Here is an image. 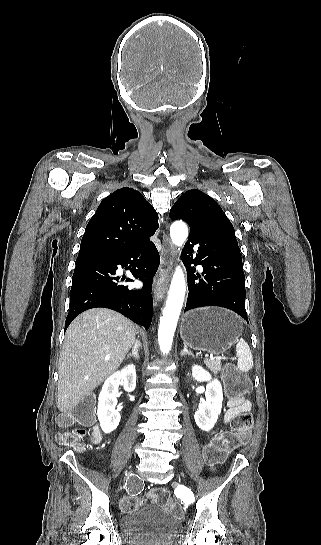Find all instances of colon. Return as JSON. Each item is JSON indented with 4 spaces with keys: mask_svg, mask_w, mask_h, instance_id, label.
Wrapping results in <instances>:
<instances>
[{
    "mask_svg": "<svg viewBox=\"0 0 321 545\" xmlns=\"http://www.w3.org/2000/svg\"><path fill=\"white\" fill-rule=\"evenodd\" d=\"M223 382L226 392L230 398L243 397L249 392L250 384L248 379L238 373L231 365L227 366L223 373ZM93 421V403L88 399L69 410L60 419L63 426L78 424L80 427L67 429L57 435V442L61 445L70 446L77 451H82V440L84 438V427ZM253 425V419L249 412L238 414L232 423V429L216 437L204 449V458L210 465L221 463L226 454L234 451L244 444L249 436ZM154 502L162 506L170 513L181 516L182 510L178 504L172 501L168 490L165 488L153 489L148 495ZM145 503L144 498L137 495H129L122 499L120 508L124 512L135 510Z\"/></svg>",
    "mask_w": 321,
    "mask_h": 545,
    "instance_id": "5ec220e1",
    "label": "colon"
}]
</instances>
